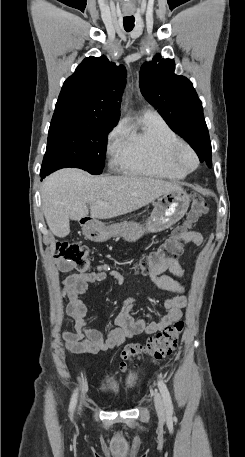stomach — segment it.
<instances>
[{"instance_id":"0dacf381","label":"stomach","mask_w":245,"mask_h":457,"mask_svg":"<svg viewBox=\"0 0 245 457\" xmlns=\"http://www.w3.org/2000/svg\"><path fill=\"white\" fill-rule=\"evenodd\" d=\"M190 198L184 190H172L159 196L147 222L146 226L125 220L105 226L100 220H79L83 233L90 241L103 243L110 237H123L125 241H137L144 233H160L169 229V226L180 220L188 210Z\"/></svg>"}]
</instances>
